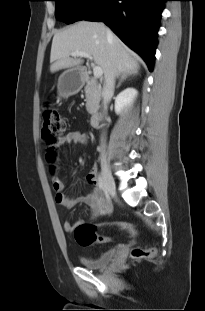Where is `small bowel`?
I'll return each mask as SVG.
<instances>
[{
	"label": "small bowel",
	"instance_id": "c3829d8e",
	"mask_svg": "<svg viewBox=\"0 0 205 311\" xmlns=\"http://www.w3.org/2000/svg\"><path fill=\"white\" fill-rule=\"evenodd\" d=\"M89 141V135L85 132L80 131H71L63 136L56 144V148H64L70 145L76 144H87ZM51 172L53 174L52 178V185L56 192L55 199L57 203L66 207V208H73L79 202H84L87 204L91 209V216L93 218L101 216L105 214L109 208V200L104 197L98 187V179H97V171L96 168H92L86 176L87 182L94 187L93 191L89 193L87 196L83 198H74L67 194L66 192V185L56 175V168L55 166L51 167ZM80 222H72V221H65L64 222V230L66 232H73L75 227Z\"/></svg>",
	"mask_w": 205,
	"mask_h": 311
}]
</instances>
